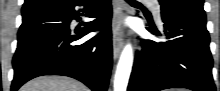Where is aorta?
<instances>
[{
	"label": "aorta",
	"instance_id": "aorta-1",
	"mask_svg": "<svg viewBox=\"0 0 220 91\" xmlns=\"http://www.w3.org/2000/svg\"><path fill=\"white\" fill-rule=\"evenodd\" d=\"M133 64V49L130 44H127L120 56L115 78H114V91H126L130 73Z\"/></svg>",
	"mask_w": 220,
	"mask_h": 91
}]
</instances>
